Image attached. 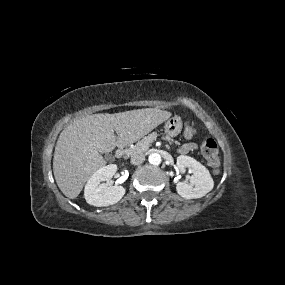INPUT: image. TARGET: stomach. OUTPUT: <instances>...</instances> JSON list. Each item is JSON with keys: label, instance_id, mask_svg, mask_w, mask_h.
Masks as SVG:
<instances>
[{"label": "stomach", "instance_id": "0dacf381", "mask_svg": "<svg viewBox=\"0 0 285 285\" xmlns=\"http://www.w3.org/2000/svg\"><path fill=\"white\" fill-rule=\"evenodd\" d=\"M182 129V121L178 116L171 117L164 125L165 133L171 137L177 136Z\"/></svg>", "mask_w": 285, "mask_h": 285}]
</instances>
